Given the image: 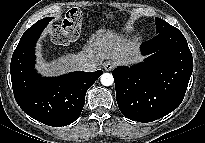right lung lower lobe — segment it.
I'll list each match as a JSON object with an SVG mask.
<instances>
[{"label": "right lung lower lobe", "instance_id": "obj_1", "mask_svg": "<svg viewBox=\"0 0 205 143\" xmlns=\"http://www.w3.org/2000/svg\"><path fill=\"white\" fill-rule=\"evenodd\" d=\"M52 18L36 22L22 35L11 65L15 100L33 119L49 126L61 127L74 122L85 104L87 90L103 73L73 72L60 77H41L34 70L35 44Z\"/></svg>", "mask_w": 205, "mask_h": 143}]
</instances>
